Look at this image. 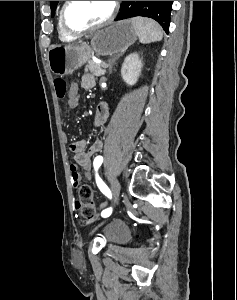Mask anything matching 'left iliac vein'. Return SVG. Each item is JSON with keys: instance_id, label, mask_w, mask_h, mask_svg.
I'll return each mask as SVG.
<instances>
[{"instance_id": "obj_1", "label": "left iliac vein", "mask_w": 237, "mask_h": 300, "mask_svg": "<svg viewBox=\"0 0 237 300\" xmlns=\"http://www.w3.org/2000/svg\"><path fill=\"white\" fill-rule=\"evenodd\" d=\"M111 191L114 199V203L117 204L119 202V195L121 192L120 183L117 179H115L111 185Z\"/></svg>"}]
</instances>
